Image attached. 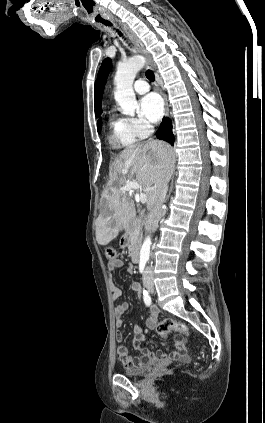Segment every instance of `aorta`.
Wrapping results in <instances>:
<instances>
[{
    "instance_id": "762f6f07",
    "label": "aorta",
    "mask_w": 265,
    "mask_h": 423,
    "mask_svg": "<svg viewBox=\"0 0 265 423\" xmlns=\"http://www.w3.org/2000/svg\"><path fill=\"white\" fill-rule=\"evenodd\" d=\"M145 59L142 56H133L128 61L120 63L114 78L116 85L114 97L124 115L133 116L138 109V103L133 90L136 74L142 69ZM151 238L144 239L140 250V263H146L150 258Z\"/></svg>"
}]
</instances>
